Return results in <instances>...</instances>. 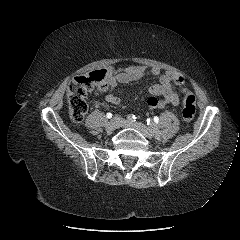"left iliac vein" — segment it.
Here are the masks:
<instances>
[{
  "mask_svg": "<svg viewBox=\"0 0 240 240\" xmlns=\"http://www.w3.org/2000/svg\"><path fill=\"white\" fill-rule=\"evenodd\" d=\"M122 127H127V128H133L137 131H139L142 135H144L147 138H152L153 134L149 130V128L140 122H129V121H124L122 124Z\"/></svg>",
  "mask_w": 240,
  "mask_h": 240,
  "instance_id": "4c4485c4",
  "label": "left iliac vein"
}]
</instances>
